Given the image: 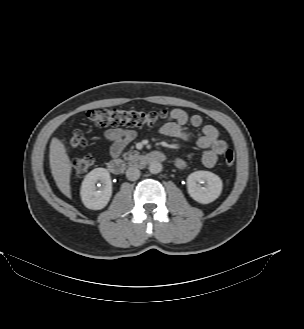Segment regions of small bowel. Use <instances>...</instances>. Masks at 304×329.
I'll return each mask as SVG.
<instances>
[{
	"instance_id": "c3829d8e",
	"label": "small bowel",
	"mask_w": 304,
	"mask_h": 329,
	"mask_svg": "<svg viewBox=\"0 0 304 329\" xmlns=\"http://www.w3.org/2000/svg\"><path fill=\"white\" fill-rule=\"evenodd\" d=\"M190 125L199 128L201 134L195 138L185 127ZM160 134L166 137L183 141L195 140L196 145L203 149L201 164L205 167H213L218 157L227 150V143L220 138L217 128L211 124H204L203 118L198 114H189L184 109L174 108L168 113V119L158 126ZM136 132L129 128L113 127L104 133V140L109 145L108 157L114 159L121 155L122 151L135 139ZM176 165L185 169L188 163L184 159H176Z\"/></svg>"
}]
</instances>
